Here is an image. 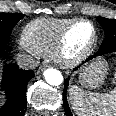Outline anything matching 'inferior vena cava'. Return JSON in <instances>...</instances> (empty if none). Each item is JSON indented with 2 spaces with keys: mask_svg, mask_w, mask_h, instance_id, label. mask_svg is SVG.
I'll use <instances>...</instances> for the list:
<instances>
[{
  "mask_svg": "<svg viewBox=\"0 0 116 116\" xmlns=\"http://www.w3.org/2000/svg\"><path fill=\"white\" fill-rule=\"evenodd\" d=\"M17 64L23 69H35L38 66V61L29 55H18Z\"/></svg>",
  "mask_w": 116,
  "mask_h": 116,
  "instance_id": "inferior-vena-cava-1",
  "label": "inferior vena cava"
}]
</instances>
